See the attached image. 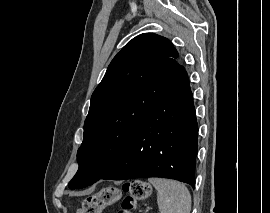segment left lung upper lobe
<instances>
[{"instance_id":"1","label":"left lung upper lobe","mask_w":270,"mask_h":213,"mask_svg":"<svg viewBox=\"0 0 270 213\" xmlns=\"http://www.w3.org/2000/svg\"><path fill=\"white\" fill-rule=\"evenodd\" d=\"M177 57L173 44L153 33L136 36L117 53L92 94L69 188L110 172L138 125L185 72Z\"/></svg>"}]
</instances>
